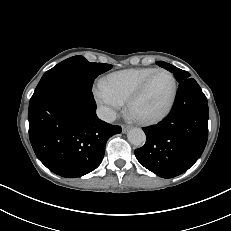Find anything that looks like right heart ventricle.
<instances>
[{
	"label": "right heart ventricle",
	"instance_id": "e07e8e85",
	"mask_svg": "<svg viewBox=\"0 0 231 231\" xmlns=\"http://www.w3.org/2000/svg\"><path fill=\"white\" fill-rule=\"evenodd\" d=\"M155 70V68H131L117 71L103 78L100 87L123 103Z\"/></svg>",
	"mask_w": 231,
	"mask_h": 231
}]
</instances>
